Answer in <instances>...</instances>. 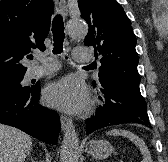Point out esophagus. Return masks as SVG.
I'll return each instance as SVG.
<instances>
[{"label": "esophagus", "mask_w": 168, "mask_h": 162, "mask_svg": "<svg viewBox=\"0 0 168 162\" xmlns=\"http://www.w3.org/2000/svg\"><path fill=\"white\" fill-rule=\"evenodd\" d=\"M56 8L57 10L62 14V16L65 18L68 14V7L66 4V0H55ZM60 122H61V128L64 132L69 131V129L72 127V119L61 115L60 116Z\"/></svg>", "instance_id": "1"}]
</instances>
